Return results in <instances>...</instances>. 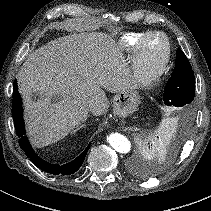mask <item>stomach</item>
<instances>
[{
  "label": "stomach",
  "instance_id": "1",
  "mask_svg": "<svg viewBox=\"0 0 211 211\" xmlns=\"http://www.w3.org/2000/svg\"><path fill=\"white\" fill-rule=\"evenodd\" d=\"M139 102V94L134 89L118 92L113 99L114 112L119 117H126L136 110Z\"/></svg>",
  "mask_w": 211,
  "mask_h": 211
}]
</instances>
